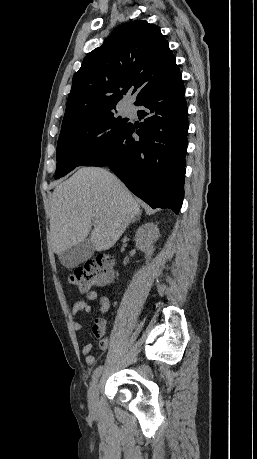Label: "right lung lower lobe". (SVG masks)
Returning a JSON list of instances; mask_svg holds the SVG:
<instances>
[{"label": "right lung lower lobe", "mask_w": 257, "mask_h": 459, "mask_svg": "<svg viewBox=\"0 0 257 459\" xmlns=\"http://www.w3.org/2000/svg\"><path fill=\"white\" fill-rule=\"evenodd\" d=\"M184 95L179 73L135 104L145 107L137 112L144 119L140 127L129 123L109 149L81 166H109L152 208H169L178 214L184 195L188 131Z\"/></svg>", "instance_id": "98d812e1"}]
</instances>
